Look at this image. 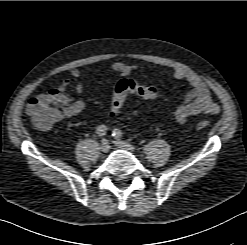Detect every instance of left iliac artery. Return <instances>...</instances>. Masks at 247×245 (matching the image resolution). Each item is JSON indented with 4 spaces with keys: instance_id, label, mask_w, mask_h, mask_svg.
I'll use <instances>...</instances> for the list:
<instances>
[{
    "instance_id": "left-iliac-artery-1",
    "label": "left iliac artery",
    "mask_w": 247,
    "mask_h": 245,
    "mask_svg": "<svg viewBox=\"0 0 247 245\" xmlns=\"http://www.w3.org/2000/svg\"><path fill=\"white\" fill-rule=\"evenodd\" d=\"M112 135H113L115 138H122V132H121L119 129H114Z\"/></svg>"
}]
</instances>
